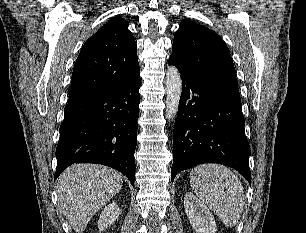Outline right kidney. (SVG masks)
Masks as SVG:
<instances>
[{
  "label": "right kidney",
  "instance_id": "ca27d5eb",
  "mask_svg": "<svg viewBox=\"0 0 306 233\" xmlns=\"http://www.w3.org/2000/svg\"><path fill=\"white\" fill-rule=\"evenodd\" d=\"M119 214L120 208L115 202L108 204L100 214L98 220L99 231H103L113 224L119 218Z\"/></svg>",
  "mask_w": 306,
  "mask_h": 233
}]
</instances>
